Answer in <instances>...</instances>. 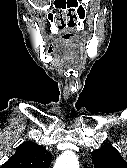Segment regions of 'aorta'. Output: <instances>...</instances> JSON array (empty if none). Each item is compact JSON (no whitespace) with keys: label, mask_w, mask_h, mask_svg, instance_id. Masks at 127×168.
<instances>
[{"label":"aorta","mask_w":127,"mask_h":168,"mask_svg":"<svg viewBox=\"0 0 127 168\" xmlns=\"http://www.w3.org/2000/svg\"><path fill=\"white\" fill-rule=\"evenodd\" d=\"M54 168H79L75 154L72 151L64 152L57 159Z\"/></svg>","instance_id":"762f6f07"}]
</instances>
